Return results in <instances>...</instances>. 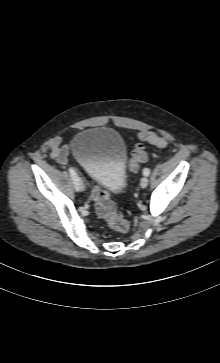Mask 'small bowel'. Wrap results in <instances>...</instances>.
Masks as SVG:
<instances>
[{
    "mask_svg": "<svg viewBox=\"0 0 220 363\" xmlns=\"http://www.w3.org/2000/svg\"><path fill=\"white\" fill-rule=\"evenodd\" d=\"M52 157L60 164H66L68 161V147L61 145L60 140L57 139L52 145Z\"/></svg>",
    "mask_w": 220,
    "mask_h": 363,
    "instance_id": "obj_1",
    "label": "small bowel"
}]
</instances>
